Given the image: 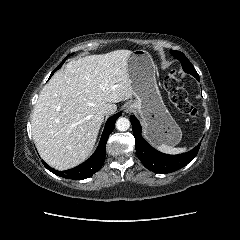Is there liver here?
Instances as JSON below:
<instances>
[{"mask_svg": "<svg viewBox=\"0 0 240 240\" xmlns=\"http://www.w3.org/2000/svg\"><path fill=\"white\" fill-rule=\"evenodd\" d=\"M131 54L115 50L72 60L44 86L32 115V136L51 167L66 170L85 161L104 116L134 96L127 70Z\"/></svg>", "mask_w": 240, "mask_h": 240, "instance_id": "obj_1", "label": "liver"}]
</instances>
